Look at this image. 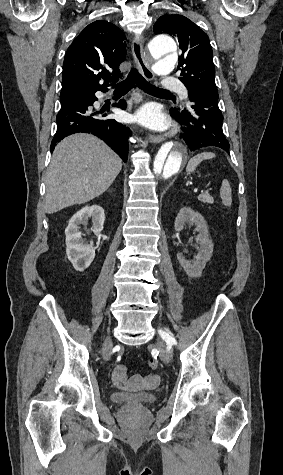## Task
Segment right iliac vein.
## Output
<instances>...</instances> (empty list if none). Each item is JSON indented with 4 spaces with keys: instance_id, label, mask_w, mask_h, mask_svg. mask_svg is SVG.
Here are the masks:
<instances>
[{
    "instance_id": "63e3f726",
    "label": "right iliac vein",
    "mask_w": 283,
    "mask_h": 475,
    "mask_svg": "<svg viewBox=\"0 0 283 475\" xmlns=\"http://www.w3.org/2000/svg\"><path fill=\"white\" fill-rule=\"evenodd\" d=\"M112 348V343L110 338H108L104 343H103V357L106 361L110 359V352Z\"/></svg>"
}]
</instances>
